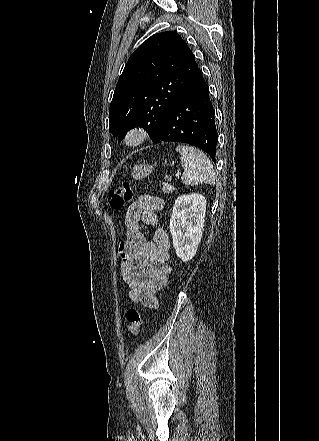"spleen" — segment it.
<instances>
[{
  "label": "spleen",
  "instance_id": "obj_1",
  "mask_svg": "<svg viewBox=\"0 0 319 441\" xmlns=\"http://www.w3.org/2000/svg\"><path fill=\"white\" fill-rule=\"evenodd\" d=\"M184 169L182 182L186 185L215 184V172L209 158L199 149L189 145H178Z\"/></svg>",
  "mask_w": 319,
  "mask_h": 441
}]
</instances>
